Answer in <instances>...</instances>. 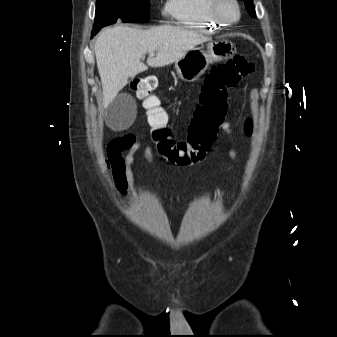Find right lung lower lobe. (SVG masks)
<instances>
[{
    "label": "right lung lower lobe",
    "instance_id": "98d812e1",
    "mask_svg": "<svg viewBox=\"0 0 337 337\" xmlns=\"http://www.w3.org/2000/svg\"><path fill=\"white\" fill-rule=\"evenodd\" d=\"M102 27H104V26H97V27H95V28H93V31H92V37L102 28Z\"/></svg>",
    "mask_w": 337,
    "mask_h": 337
}]
</instances>
